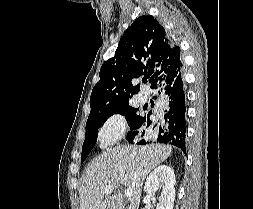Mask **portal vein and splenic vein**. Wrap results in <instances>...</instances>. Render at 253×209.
Here are the masks:
<instances>
[{
	"label": "portal vein and splenic vein",
	"mask_w": 253,
	"mask_h": 209,
	"mask_svg": "<svg viewBox=\"0 0 253 209\" xmlns=\"http://www.w3.org/2000/svg\"><path fill=\"white\" fill-rule=\"evenodd\" d=\"M104 192L107 193V194L111 193V192H112V185H107V186H105ZM132 194H133V192H132L131 189H126V190H125V196H126L127 198H131V197H132Z\"/></svg>",
	"instance_id": "18ae733b"
}]
</instances>
